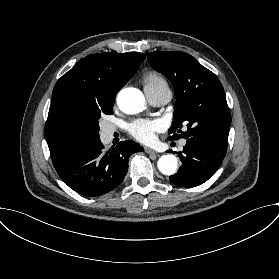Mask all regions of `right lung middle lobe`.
<instances>
[{
    "instance_id": "dd1d6c3e",
    "label": "right lung middle lobe",
    "mask_w": 279,
    "mask_h": 279,
    "mask_svg": "<svg viewBox=\"0 0 279 279\" xmlns=\"http://www.w3.org/2000/svg\"><path fill=\"white\" fill-rule=\"evenodd\" d=\"M114 99H107L102 101H89L84 106V113L82 120L78 126L79 131L86 137L98 141L100 140L99 132V119L101 115L113 114Z\"/></svg>"
}]
</instances>
